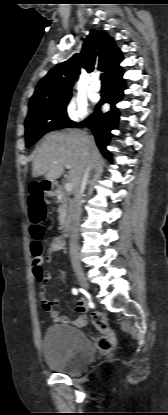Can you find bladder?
I'll return each instance as SVG.
<instances>
[{"label":"bladder","mask_w":168,"mask_h":415,"mask_svg":"<svg viewBox=\"0 0 168 415\" xmlns=\"http://www.w3.org/2000/svg\"><path fill=\"white\" fill-rule=\"evenodd\" d=\"M42 348L46 364L54 371L67 375L82 373L95 356V348L87 336L66 324L49 326Z\"/></svg>","instance_id":"31cf9c89"}]
</instances>
